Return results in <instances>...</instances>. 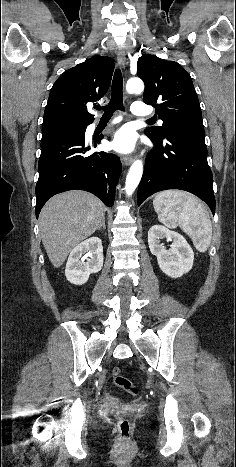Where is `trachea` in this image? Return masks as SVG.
Segmentation results:
<instances>
[{"mask_svg":"<svg viewBox=\"0 0 236 467\" xmlns=\"http://www.w3.org/2000/svg\"><path fill=\"white\" fill-rule=\"evenodd\" d=\"M112 93L111 100L108 105L104 107L98 106V110H104L102 119H110L116 110H124L123 107V77L121 70L118 68L115 70L113 81H112ZM148 122H154L149 119Z\"/></svg>","mask_w":236,"mask_h":467,"instance_id":"1","label":"trachea"}]
</instances>
